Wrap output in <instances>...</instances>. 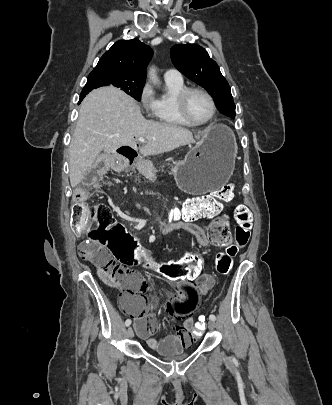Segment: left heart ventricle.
Masks as SVG:
<instances>
[{"mask_svg": "<svg viewBox=\"0 0 332 405\" xmlns=\"http://www.w3.org/2000/svg\"><path fill=\"white\" fill-rule=\"evenodd\" d=\"M189 116L195 121H204L212 113V105L209 99L200 92L190 94L187 101Z\"/></svg>", "mask_w": 332, "mask_h": 405, "instance_id": "left-heart-ventricle-1", "label": "left heart ventricle"}]
</instances>
